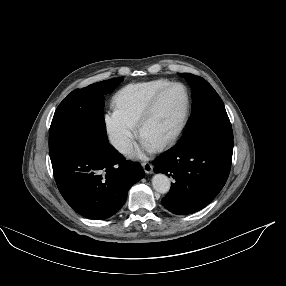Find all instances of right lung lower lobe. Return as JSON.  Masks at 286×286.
Segmentation results:
<instances>
[{
	"label": "right lung lower lobe",
	"mask_w": 286,
	"mask_h": 286,
	"mask_svg": "<svg viewBox=\"0 0 286 286\" xmlns=\"http://www.w3.org/2000/svg\"><path fill=\"white\" fill-rule=\"evenodd\" d=\"M54 178L67 203L89 219H106L125 203L129 188L144 172L115 150L104 156L87 147L71 149L51 159Z\"/></svg>",
	"instance_id": "right-lung-lower-lobe-1"
}]
</instances>
